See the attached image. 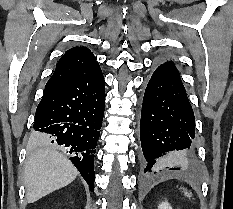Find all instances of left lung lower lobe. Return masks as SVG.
<instances>
[{
    "mask_svg": "<svg viewBox=\"0 0 233 209\" xmlns=\"http://www.w3.org/2000/svg\"><path fill=\"white\" fill-rule=\"evenodd\" d=\"M195 119L179 71L162 63L154 71L143 97L140 137L144 172L194 163Z\"/></svg>",
    "mask_w": 233,
    "mask_h": 209,
    "instance_id": "0a47b994",
    "label": "left lung lower lobe"
}]
</instances>
